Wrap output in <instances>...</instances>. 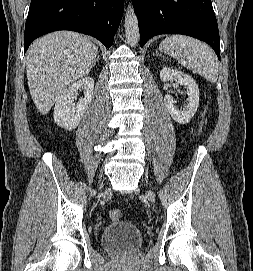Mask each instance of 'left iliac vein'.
<instances>
[{"instance_id": "4c4485c4", "label": "left iliac vein", "mask_w": 253, "mask_h": 271, "mask_svg": "<svg viewBox=\"0 0 253 271\" xmlns=\"http://www.w3.org/2000/svg\"><path fill=\"white\" fill-rule=\"evenodd\" d=\"M146 196H147L148 199H151L153 197V194H152L151 191H147Z\"/></svg>"}]
</instances>
